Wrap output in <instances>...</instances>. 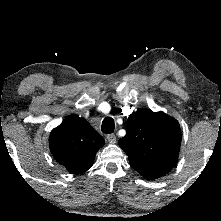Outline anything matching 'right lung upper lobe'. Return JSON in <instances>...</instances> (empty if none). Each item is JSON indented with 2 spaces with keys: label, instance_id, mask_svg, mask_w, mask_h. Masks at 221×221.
<instances>
[{
  "label": "right lung upper lobe",
  "instance_id": "right-lung-upper-lobe-1",
  "mask_svg": "<svg viewBox=\"0 0 221 221\" xmlns=\"http://www.w3.org/2000/svg\"><path fill=\"white\" fill-rule=\"evenodd\" d=\"M104 138L83 118L69 116L50 134L49 146L55 160L73 174L87 171L94 163Z\"/></svg>",
  "mask_w": 221,
  "mask_h": 221
}]
</instances>
